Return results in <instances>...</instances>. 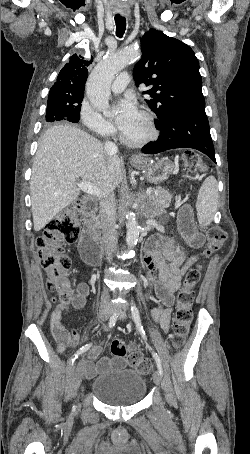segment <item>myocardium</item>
I'll list each match as a JSON object with an SVG mask.
<instances>
[{"instance_id": "myocardium-1", "label": "myocardium", "mask_w": 250, "mask_h": 454, "mask_svg": "<svg viewBox=\"0 0 250 454\" xmlns=\"http://www.w3.org/2000/svg\"><path fill=\"white\" fill-rule=\"evenodd\" d=\"M140 114L146 122V125L148 128V133L146 136H144L143 138L138 139V140L128 139L123 135V133H120V136H119L120 140L127 146L135 147V148L143 147V146L151 143L158 137V129H157L155 118H154L153 114L146 110L140 111Z\"/></svg>"}]
</instances>
